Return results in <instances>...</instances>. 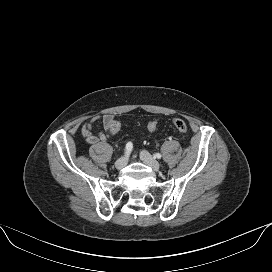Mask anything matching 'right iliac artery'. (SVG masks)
<instances>
[{"instance_id": "82829eb1", "label": "right iliac artery", "mask_w": 272, "mask_h": 272, "mask_svg": "<svg viewBox=\"0 0 272 272\" xmlns=\"http://www.w3.org/2000/svg\"><path fill=\"white\" fill-rule=\"evenodd\" d=\"M132 149H133L132 142H128L126 144L125 154L128 156L131 153Z\"/></svg>"}]
</instances>
